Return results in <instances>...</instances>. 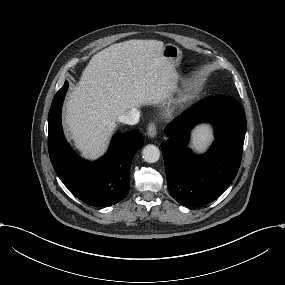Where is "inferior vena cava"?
<instances>
[{
    "label": "inferior vena cava",
    "mask_w": 285,
    "mask_h": 285,
    "mask_svg": "<svg viewBox=\"0 0 285 285\" xmlns=\"http://www.w3.org/2000/svg\"><path fill=\"white\" fill-rule=\"evenodd\" d=\"M118 119L119 121L128 125H136L140 119V111L136 108H132L127 112L121 114Z\"/></svg>",
    "instance_id": "602c4592"
}]
</instances>
